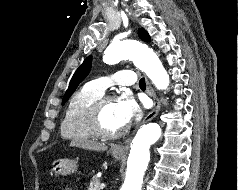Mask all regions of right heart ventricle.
<instances>
[{
    "label": "right heart ventricle",
    "mask_w": 238,
    "mask_h": 190,
    "mask_svg": "<svg viewBox=\"0 0 238 190\" xmlns=\"http://www.w3.org/2000/svg\"><path fill=\"white\" fill-rule=\"evenodd\" d=\"M101 96L84 86L71 97L61 122V135L64 138L85 141L96 137L87 127L85 116L91 104Z\"/></svg>",
    "instance_id": "right-heart-ventricle-1"
}]
</instances>
